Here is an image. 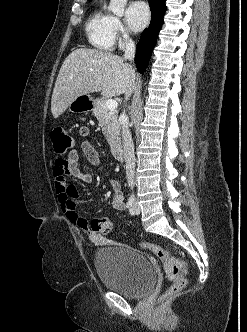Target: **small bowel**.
Returning a JSON list of instances; mask_svg holds the SVG:
<instances>
[{"mask_svg":"<svg viewBox=\"0 0 247 332\" xmlns=\"http://www.w3.org/2000/svg\"><path fill=\"white\" fill-rule=\"evenodd\" d=\"M79 134L82 137H87L90 134L89 127L81 126ZM80 157L89 165L100 167L99 155L88 141H83L80 146V151L73 149L68 153L66 158L56 159L53 168L54 186L61 208L68 220L83 230L89 238H93L95 232L91 229L87 219L81 216L75 207L74 199L78 196V192L73 186L67 184V177L69 176L84 183H90L92 181L91 174L79 168ZM106 178L112 190V207L117 211L124 210V195L120 184L107 175Z\"/></svg>","mask_w":247,"mask_h":332,"instance_id":"c3829d8e","label":"small bowel"}]
</instances>
